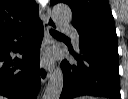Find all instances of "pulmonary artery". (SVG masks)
Here are the masks:
<instances>
[{
	"instance_id": "e3ab8cb5",
	"label": "pulmonary artery",
	"mask_w": 128,
	"mask_h": 99,
	"mask_svg": "<svg viewBox=\"0 0 128 99\" xmlns=\"http://www.w3.org/2000/svg\"><path fill=\"white\" fill-rule=\"evenodd\" d=\"M62 30L69 33L72 36L74 46L78 48L79 47V35H78L77 30L67 24L62 25Z\"/></svg>"
}]
</instances>
